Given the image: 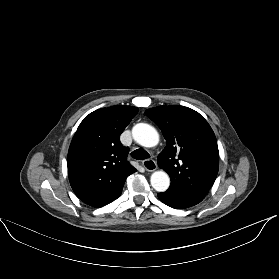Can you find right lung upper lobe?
I'll list each match as a JSON object with an SVG mask.
<instances>
[{"label":"right lung upper lobe","mask_w":279,"mask_h":279,"mask_svg":"<svg viewBox=\"0 0 279 279\" xmlns=\"http://www.w3.org/2000/svg\"><path fill=\"white\" fill-rule=\"evenodd\" d=\"M138 112L133 106L101 108L84 118L71 141L68 175L76 196L102 207L122 192L126 178L136 172L127 161L129 149L120 135Z\"/></svg>","instance_id":"right-lung-upper-lobe-1"}]
</instances>
